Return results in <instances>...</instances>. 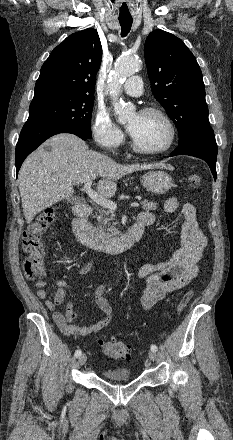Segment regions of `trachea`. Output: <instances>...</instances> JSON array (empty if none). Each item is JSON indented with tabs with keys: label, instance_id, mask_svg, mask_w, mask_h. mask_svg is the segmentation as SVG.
I'll return each instance as SVG.
<instances>
[{
	"label": "trachea",
	"instance_id": "obj_1",
	"mask_svg": "<svg viewBox=\"0 0 233 440\" xmlns=\"http://www.w3.org/2000/svg\"><path fill=\"white\" fill-rule=\"evenodd\" d=\"M121 25V36L125 37L130 32L133 20L131 18L128 19H119Z\"/></svg>",
	"mask_w": 233,
	"mask_h": 440
}]
</instances>
